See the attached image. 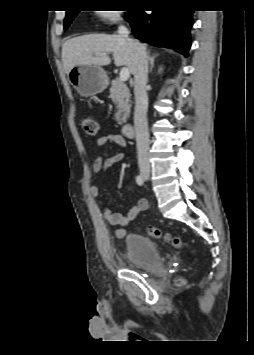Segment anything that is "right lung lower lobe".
Returning a JSON list of instances; mask_svg holds the SVG:
<instances>
[{"label":"right lung lower lobe","instance_id":"right-lung-lower-lobe-1","mask_svg":"<svg viewBox=\"0 0 254 355\" xmlns=\"http://www.w3.org/2000/svg\"><path fill=\"white\" fill-rule=\"evenodd\" d=\"M161 5V8L152 11L151 14L139 9L128 12L126 18L132 26L134 35L149 44L176 49L188 56L193 11L173 7V3Z\"/></svg>","mask_w":254,"mask_h":355}]
</instances>
